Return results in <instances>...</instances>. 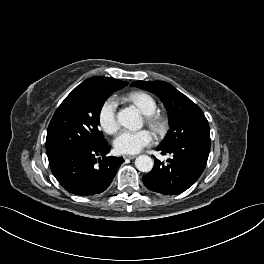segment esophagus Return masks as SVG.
I'll return each mask as SVG.
<instances>
[{
	"instance_id": "34e87169",
	"label": "esophagus",
	"mask_w": 264,
	"mask_h": 264,
	"mask_svg": "<svg viewBox=\"0 0 264 264\" xmlns=\"http://www.w3.org/2000/svg\"><path fill=\"white\" fill-rule=\"evenodd\" d=\"M123 158L124 159H130L131 160V159L136 158V156L135 155H124Z\"/></svg>"
}]
</instances>
